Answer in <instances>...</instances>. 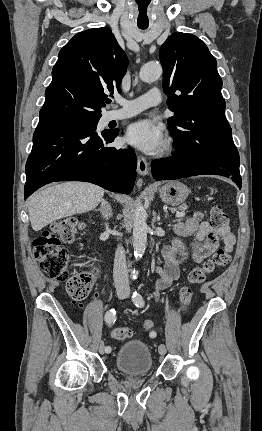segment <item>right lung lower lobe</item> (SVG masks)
I'll use <instances>...</instances> for the list:
<instances>
[{"label": "right lung lower lobe", "instance_id": "right-lung-lower-lobe-1", "mask_svg": "<svg viewBox=\"0 0 262 431\" xmlns=\"http://www.w3.org/2000/svg\"><path fill=\"white\" fill-rule=\"evenodd\" d=\"M80 120L39 121L26 163L24 199L54 181H85L129 194L137 158L130 148L107 147L119 131L97 134Z\"/></svg>", "mask_w": 262, "mask_h": 431}]
</instances>
